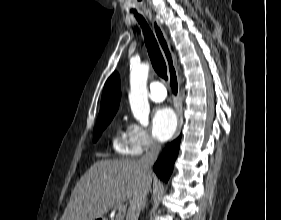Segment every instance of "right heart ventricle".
<instances>
[{
	"mask_svg": "<svg viewBox=\"0 0 281 220\" xmlns=\"http://www.w3.org/2000/svg\"><path fill=\"white\" fill-rule=\"evenodd\" d=\"M112 145L114 150L121 155L137 154L131 146L128 129L124 131L121 126L117 128L116 134L112 141Z\"/></svg>",
	"mask_w": 281,
	"mask_h": 220,
	"instance_id": "e07e8e85",
	"label": "right heart ventricle"
}]
</instances>
